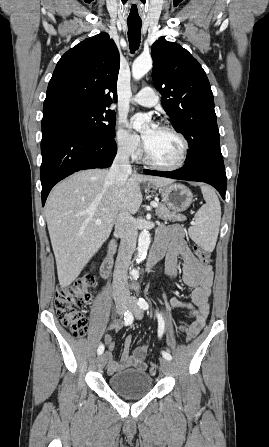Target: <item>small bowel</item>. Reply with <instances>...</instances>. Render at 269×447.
Returning <instances> with one entry per match:
<instances>
[{
    "instance_id": "small-bowel-1",
    "label": "small bowel",
    "mask_w": 269,
    "mask_h": 447,
    "mask_svg": "<svg viewBox=\"0 0 269 447\" xmlns=\"http://www.w3.org/2000/svg\"><path fill=\"white\" fill-rule=\"evenodd\" d=\"M169 240L171 243L168 245ZM154 250L167 252L166 272L171 279L177 276V262L182 261L183 282L186 286L192 288L191 300L184 301L177 297L170 299V306L173 308H182L193 318L191 325L194 328H202L209 313V298L212 292L214 274L210 265L200 262L191 252L184 238V232L178 225L162 229L156 237ZM116 328L115 324L111 325ZM103 342L107 344L108 350L106 357L108 359V370L111 373L118 372L126 368H146L145 350L146 345L138 346L131 351L132 341L127 338L123 344L121 358L119 361L113 358L112 348L114 338L112 335H104Z\"/></svg>"
}]
</instances>
